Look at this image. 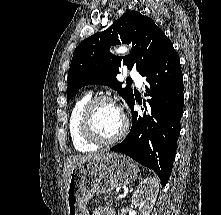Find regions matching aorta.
Returning <instances> with one entry per match:
<instances>
[{"instance_id": "aorta-1", "label": "aorta", "mask_w": 221, "mask_h": 215, "mask_svg": "<svg viewBox=\"0 0 221 215\" xmlns=\"http://www.w3.org/2000/svg\"><path fill=\"white\" fill-rule=\"evenodd\" d=\"M128 51L129 49L127 48V46H119L115 49L114 53L117 55H121V54H125Z\"/></svg>"}]
</instances>
